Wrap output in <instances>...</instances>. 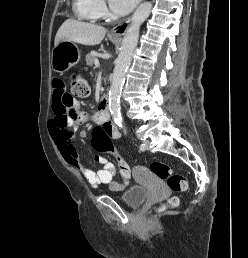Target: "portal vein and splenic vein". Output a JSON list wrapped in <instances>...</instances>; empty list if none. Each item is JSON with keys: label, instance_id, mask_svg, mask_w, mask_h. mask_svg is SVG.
<instances>
[{"label": "portal vein and splenic vein", "instance_id": "obj_1", "mask_svg": "<svg viewBox=\"0 0 248 258\" xmlns=\"http://www.w3.org/2000/svg\"><path fill=\"white\" fill-rule=\"evenodd\" d=\"M94 64H95L96 67H99L100 66L99 60L95 59Z\"/></svg>", "mask_w": 248, "mask_h": 258}]
</instances>
